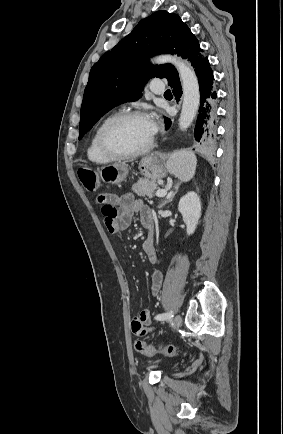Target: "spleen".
Returning <instances> with one entry per match:
<instances>
[{"label": "spleen", "instance_id": "spleen-1", "mask_svg": "<svg viewBox=\"0 0 283 434\" xmlns=\"http://www.w3.org/2000/svg\"><path fill=\"white\" fill-rule=\"evenodd\" d=\"M196 165L195 154L187 150L175 152L167 161L168 171L182 182H188L193 178Z\"/></svg>", "mask_w": 283, "mask_h": 434}]
</instances>
